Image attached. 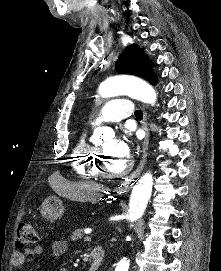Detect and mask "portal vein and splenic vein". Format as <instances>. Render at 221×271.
Returning <instances> with one entry per match:
<instances>
[{
	"mask_svg": "<svg viewBox=\"0 0 221 271\" xmlns=\"http://www.w3.org/2000/svg\"><path fill=\"white\" fill-rule=\"evenodd\" d=\"M91 237L90 234L87 237H84V242H91Z\"/></svg>",
	"mask_w": 221,
	"mask_h": 271,
	"instance_id": "obj_1",
	"label": "portal vein and splenic vein"
}]
</instances>
